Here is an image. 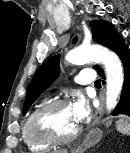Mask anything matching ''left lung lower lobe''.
Here are the masks:
<instances>
[{
	"label": "left lung lower lobe",
	"mask_w": 130,
	"mask_h": 153,
	"mask_svg": "<svg viewBox=\"0 0 130 153\" xmlns=\"http://www.w3.org/2000/svg\"><path fill=\"white\" fill-rule=\"evenodd\" d=\"M105 46L118 54L122 61L125 75L120 101L114 109L113 114H125L130 116V50L126 46L123 37L118 32L109 38ZM98 73L104 79V73L101 68L98 69Z\"/></svg>",
	"instance_id": "left-lung-lower-lobe-1"
}]
</instances>
